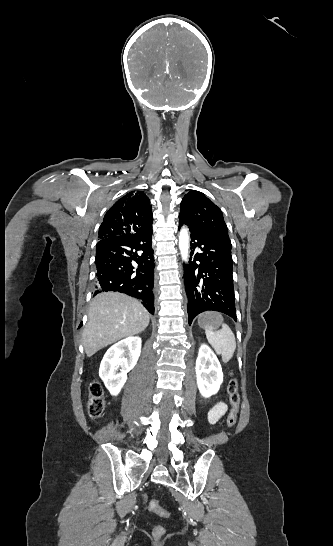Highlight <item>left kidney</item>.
Instances as JSON below:
<instances>
[{"mask_svg": "<svg viewBox=\"0 0 333 546\" xmlns=\"http://www.w3.org/2000/svg\"><path fill=\"white\" fill-rule=\"evenodd\" d=\"M195 370L201 395L208 398L216 394L223 382V372L216 355L206 344L199 349Z\"/></svg>", "mask_w": 333, "mask_h": 546, "instance_id": "left-kidney-1", "label": "left kidney"}]
</instances>
